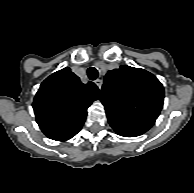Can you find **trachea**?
<instances>
[{
  "mask_svg": "<svg viewBox=\"0 0 194 193\" xmlns=\"http://www.w3.org/2000/svg\"><path fill=\"white\" fill-rule=\"evenodd\" d=\"M89 79L95 80L98 77V71L94 67H90L87 71Z\"/></svg>",
  "mask_w": 194,
  "mask_h": 193,
  "instance_id": "trachea-1",
  "label": "trachea"
}]
</instances>
